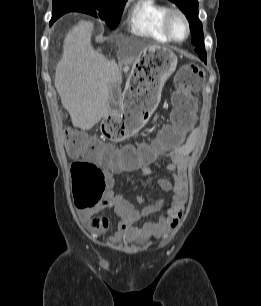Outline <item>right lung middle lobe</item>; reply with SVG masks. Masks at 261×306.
Instances as JSON below:
<instances>
[{"label": "right lung middle lobe", "mask_w": 261, "mask_h": 306, "mask_svg": "<svg viewBox=\"0 0 261 306\" xmlns=\"http://www.w3.org/2000/svg\"><path fill=\"white\" fill-rule=\"evenodd\" d=\"M126 0H74L53 3L52 19L56 20L67 12H82L98 16L110 29L120 22Z\"/></svg>", "instance_id": "1"}]
</instances>
